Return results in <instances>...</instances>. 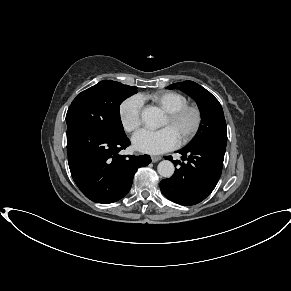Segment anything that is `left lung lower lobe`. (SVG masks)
<instances>
[{
  "label": "left lung lower lobe",
  "mask_w": 291,
  "mask_h": 291,
  "mask_svg": "<svg viewBox=\"0 0 291 291\" xmlns=\"http://www.w3.org/2000/svg\"><path fill=\"white\" fill-rule=\"evenodd\" d=\"M226 143L204 141L190 144L179 150L186 162L173 161L172 177L160 182L166 198L180 205H195L213 191L221 176ZM166 159H172L166 156Z\"/></svg>",
  "instance_id": "0a47b994"
}]
</instances>
